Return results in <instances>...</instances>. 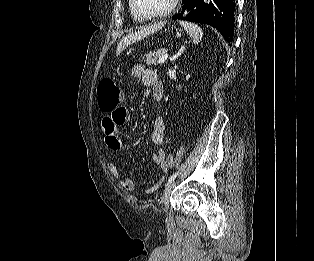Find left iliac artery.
<instances>
[{"label":"left iliac artery","instance_id":"44dca946","mask_svg":"<svg viewBox=\"0 0 314 261\" xmlns=\"http://www.w3.org/2000/svg\"><path fill=\"white\" fill-rule=\"evenodd\" d=\"M178 174H179V171L176 172V173H174V174H172V175L170 176L169 180H168V183L174 181V179L177 177Z\"/></svg>","mask_w":314,"mask_h":261}]
</instances>
